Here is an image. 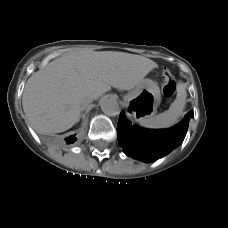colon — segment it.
I'll return each instance as SVG.
<instances>
[{
	"mask_svg": "<svg viewBox=\"0 0 228 228\" xmlns=\"http://www.w3.org/2000/svg\"><path fill=\"white\" fill-rule=\"evenodd\" d=\"M162 77L164 81L163 92L167 98H171L176 92V82L172 73L168 69H163Z\"/></svg>",
	"mask_w": 228,
	"mask_h": 228,
	"instance_id": "5ec220e1",
	"label": "colon"
}]
</instances>
